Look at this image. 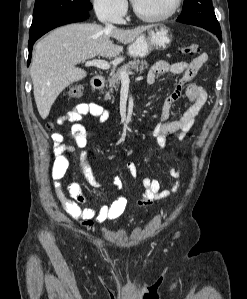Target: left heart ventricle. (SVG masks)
<instances>
[{"label": "left heart ventricle", "instance_id": "obj_1", "mask_svg": "<svg viewBox=\"0 0 247 299\" xmlns=\"http://www.w3.org/2000/svg\"><path fill=\"white\" fill-rule=\"evenodd\" d=\"M136 7L144 14L158 15L166 12L173 0H133Z\"/></svg>", "mask_w": 247, "mask_h": 299}]
</instances>
